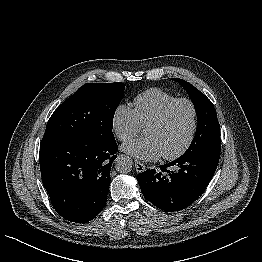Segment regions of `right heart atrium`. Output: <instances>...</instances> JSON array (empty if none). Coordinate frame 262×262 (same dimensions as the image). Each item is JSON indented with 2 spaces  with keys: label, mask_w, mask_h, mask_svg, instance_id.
I'll list each match as a JSON object with an SVG mask.
<instances>
[{
  "label": "right heart atrium",
  "mask_w": 262,
  "mask_h": 262,
  "mask_svg": "<svg viewBox=\"0 0 262 262\" xmlns=\"http://www.w3.org/2000/svg\"><path fill=\"white\" fill-rule=\"evenodd\" d=\"M111 126L115 136L122 142L134 138L142 128L133 108L125 104L117 106L114 110Z\"/></svg>",
  "instance_id": "obj_1"
}]
</instances>
